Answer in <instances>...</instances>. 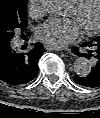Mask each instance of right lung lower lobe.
<instances>
[{
	"instance_id": "1",
	"label": "right lung lower lobe",
	"mask_w": 100,
	"mask_h": 118,
	"mask_svg": "<svg viewBox=\"0 0 100 118\" xmlns=\"http://www.w3.org/2000/svg\"><path fill=\"white\" fill-rule=\"evenodd\" d=\"M45 52L41 44L26 51L13 48L10 42L0 44V80L9 85H23L38 74V60Z\"/></svg>"
}]
</instances>
